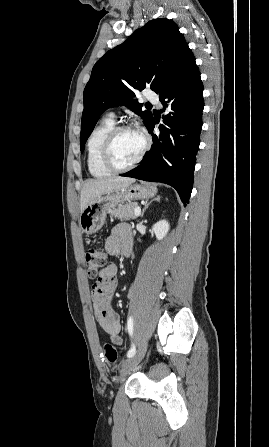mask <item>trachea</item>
<instances>
[{
  "mask_svg": "<svg viewBox=\"0 0 269 447\" xmlns=\"http://www.w3.org/2000/svg\"><path fill=\"white\" fill-rule=\"evenodd\" d=\"M146 105H151L150 103H147Z\"/></svg>",
  "mask_w": 269,
  "mask_h": 447,
  "instance_id": "obj_1",
  "label": "trachea"
}]
</instances>
